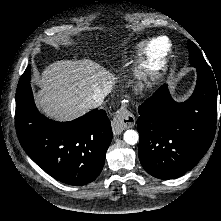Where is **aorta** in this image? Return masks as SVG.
Here are the masks:
<instances>
[{
  "instance_id": "762f6f07",
  "label": "aorta",
  "mask_w": 221,
  "mask_h": 221,
  "mask_svg": "<svg viewBox=\"0 0 221 221\" xmlns=\"http://www.w3.org/2000/svg\"><path fill=\"white\" fill-rule=\"evenodd\" d=\"M123 138L127 144L134 145L138 142L139 135L135 130L131 129L124 132Z\"/></svg>"
}]
</instances>
